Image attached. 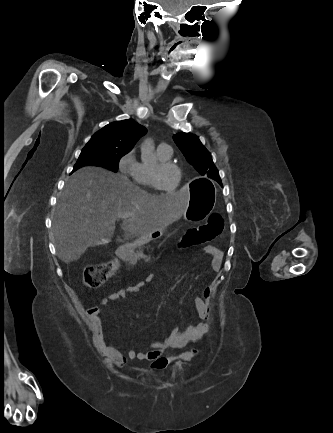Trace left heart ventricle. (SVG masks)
<instances>
[{
  "label": "left heart ventricle",
  "mask_w": 333,
  "mask_h": 433,
  "mask_svg": "<svg viewBox=\"0 0 333 433\" xmlns=\"http://www.w3.org/2000/svg\"><path fill=\"white\" fill-rule=\"evenodd\" d=\"M177 180H178V173L173 168L165 169L161 173L160 182L162 186L168 191L174 190L177 184Z\"/></svg>",
  "instance_id": "b2bd125f"
}]
</instances>
